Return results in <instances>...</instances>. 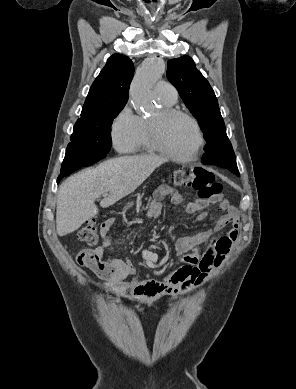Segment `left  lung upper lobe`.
<instances>
[{"label":"left lung upper lobe","mask_w":296,"mask_h":389,"mask_svg":"<svg viewBox=\"0 0 296 389\" xmlns=\"http://www.w3.org/2000/svg\"><path fill=\"white\" fill-rule=\"evenodd\" d=\"M167 66L168 80L177 88L185 105L199 121L207 141L204 147L206 151L226 132L215 93L209 82L196 69L191 57L185 55L171 59Z\"/></svg>","instance_id":"left-lung-upper-lobe-1"}]
</instances>
